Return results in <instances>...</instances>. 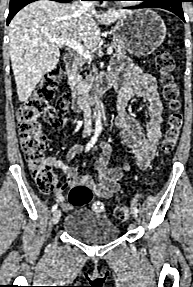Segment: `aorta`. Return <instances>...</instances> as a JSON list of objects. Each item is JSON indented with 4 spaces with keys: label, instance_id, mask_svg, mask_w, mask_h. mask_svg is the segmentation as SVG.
Returning <instances> with one entry per match:
<instances>
[{
    "label": "aorta",
    "instance_id": "obj_1",
    "mask_svg": "<svg viewBox=\"0 0 193 287\" xmlns=\"http://www.w3.org/2000/svg\"><path fill=\"white\" fill-rule=\"evenodd\" d=\"M96 127L97 128H101L102 124H101V120H102V104L100 101H97L96 104Z\"/></svg>",
    "mask_w": 193,
    "mask_h": 287
}]
</instances>
